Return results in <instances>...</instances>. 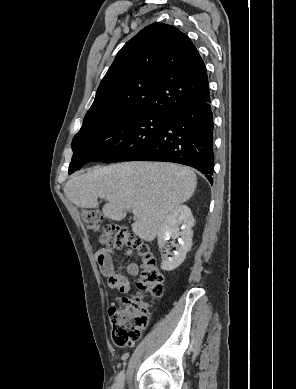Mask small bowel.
Instances as JSON below:
<instances>
[{
  "instance_id": "obj_1",
  "label": "small bowel",
  "mask_w": 296,
  "mask_h": 389,
  "mask_svg": "<svg viewBox=\"0 0 296 389\" xmlns=\"http://www.w3.org/2000/svg\"><path fill=\"white\" fill-rule=\"evenodd\" d=\"M127 254H131L130 251ZM95 260L99 265L100 271L107 278V285L111 289H117L120 293L126 294L130 290L128 278L122 274L116 273L112 260V251L108 248H101L95 253ZM127 272L131 276H137L139 266L132 262L127 266Z\"/></svg>"
}]
</instances>
